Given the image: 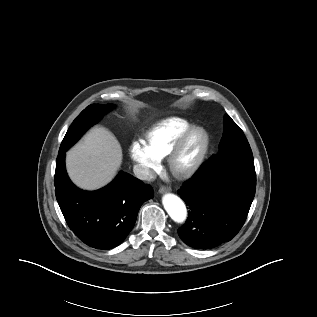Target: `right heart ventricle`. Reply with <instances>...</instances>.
I'll use <instances>...</instances> for the list:
<instances>
[{
	"label": "right heart ventricle",
	"instance_id": "1",
	"mask_svg": "<svg viewBox=\"0 0 317 317\" xmlns=\"http://www.w3.org/2000/svg\"><path fill=\"white\" fill-rule=\"evenodd\" d=\"M185 119L172 117L162 120L145 133L146 144L159 158L166 157L178 138L191 127Z\"/></svg>",
	"mask_w": 317,
	"mask_h": 317
}]
</instances>
